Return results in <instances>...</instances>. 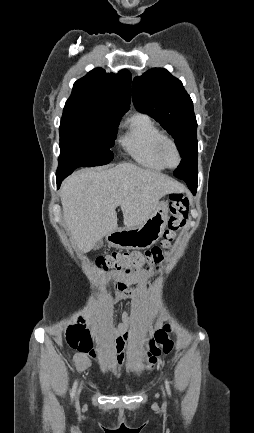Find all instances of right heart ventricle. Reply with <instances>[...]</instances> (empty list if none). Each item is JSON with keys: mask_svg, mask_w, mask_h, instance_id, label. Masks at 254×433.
Instances as JSON below:
<instances>
[{"mask_svg": "<svg viewBox=\"0 0 254 433\" xmlns=\"http://www.w3.org/2000/svg\"><path fill=\"white\" fill-rule=\"evenodd\" d=\"M163 135L150 116L136 114L127 120L126 132L120 143L138 164L151 170L162 171L165 167L156 156V144Z\"/></svg>", "mask_w": 254, "mask_h": 433, "instance_id": "right-heart-ventricle-1", "label": "right heart ventricle"}]
</instances>
